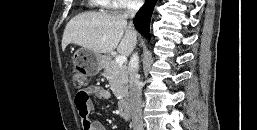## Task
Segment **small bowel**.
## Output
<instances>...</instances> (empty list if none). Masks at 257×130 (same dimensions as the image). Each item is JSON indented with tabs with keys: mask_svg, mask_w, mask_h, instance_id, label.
<instances>
[{
	"mask_svg": "<svg viewBox=\"0 0 257 130\" xmlns=\"http://www.w3.org/2000/svg\"><path fill=\"white\" fill-rule=\"evenodd\" d=\"M93 97L108 99L110 98V93L99 85H91L77 92L75 96V107L81 118L82 128L83 130H106L101 121L89 119V114L93 110Z\"/></svg>",
	"mask_w": 257,
	"mask_h": 130,
	"instance_id": "small-bowel-1",
	"label": "small bowel"
}]
</instances>
